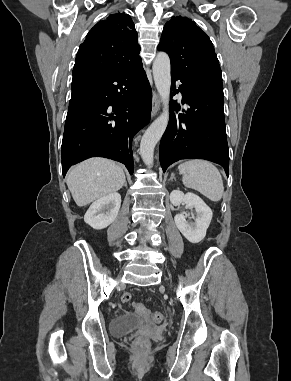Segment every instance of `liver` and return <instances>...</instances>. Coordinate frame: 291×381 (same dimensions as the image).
<instances>
[{
  "label": "liver",
  "instance_id": "6515ba94",
  "mask_svg": "<svg viewBox=\"0 0 291 381\" xmlns=\"http://www.w3.org/2000/svg\"><path fill=\"white\" fill-rule=\"evenodd\" d=\"M124 183L122 167L103 158L88 159L75 166L67 176V186L79 207L115 193Z\"/></svg>",
  "mask_w": 291,
  "mask_h": 381
}]
</instances>
